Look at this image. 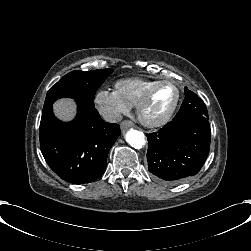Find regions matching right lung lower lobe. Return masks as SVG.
<instances>
[{"instance_id": "1", "label": "right lung lower lobe", "mask_w": 251, "mask_h": 251, "mask_svg": "<svg viewBox=\"0 0 251 251\" xmlns=\"http://www.w3.org/2000/svg\"><path fill=\"white\" fill-rule=\"evenodd\" d=\"M71 122L58 120L52 107L42 112L40 147L49 167L73 184L91 183L106 169L108 151L120 135V126L103 121L94 105L77 101Z\"/></svg>"}]
</instances>
